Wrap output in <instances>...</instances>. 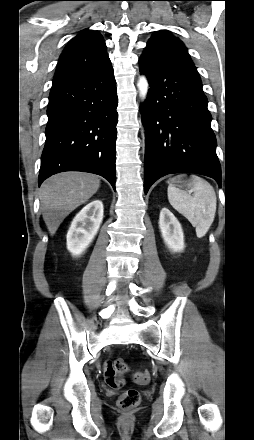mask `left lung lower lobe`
I'll use <instances>...</instances> for the list:
<instances>
[{"label": "left lung lower lobe", "instance_id": "left-lung-lower-lobe-1", "mask_svg": "<svg viewBox=\"0 0 254 440\" xmlns=\"http://www.w3.org/2000/svg\"><path fill=\"white\" fill-rule=\"evenodd\" d=\"M139 63L150 86L141 110L145 194L156 180L172 173L203 174L221 185L216 138L198 72L155 55H142Z\"/></svg>", "mask_w": 254, "mask_h": 440}]
</instances>
